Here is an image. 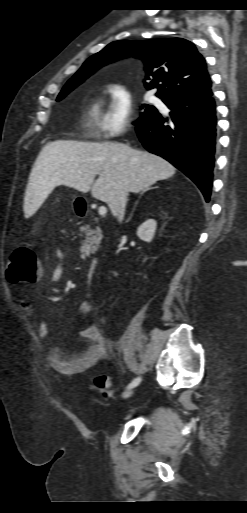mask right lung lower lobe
<instances>
[{
	"instance_id": "obj_1",
	"label": "right lung lower lobe",
	"mask_w": 247,
	"mask_h": 513,
	"mask_svg": "<svg viewBox=\"0 0 247 513\" xmlns=\"http://www.w3.org/2000/svg\"><path fill=\"white\" fill-rule=\"evenodd\" d=\"M212 95L163 101L171 110L169 117L157 111L136 125L143 146L186 174L207 202L216 148V105Z\"/></svg>"
}]
</instances>
